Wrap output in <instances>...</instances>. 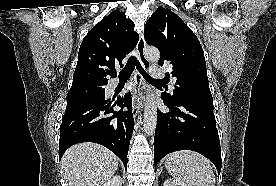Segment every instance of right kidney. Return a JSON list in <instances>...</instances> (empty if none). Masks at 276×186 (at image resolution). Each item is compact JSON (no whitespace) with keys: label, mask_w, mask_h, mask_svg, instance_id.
Returning <instances> with one entry per match:
<instances>
[{"label":"right kidney","mask_w":276,"mask_h":186,"mask_svg":"<svg viewBox=\"0 0 276 186\" xmlns=\"http://www.w3.org/2000/svg\"><path fill=\"white\" fill-rule=\"evenodd\" d=\"M102 186H122V179L119 175H115Z\"/></svg>","instance_id":"ca27d5eb"}]
</instances>
